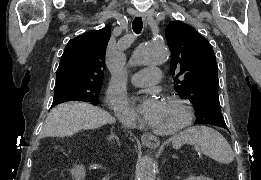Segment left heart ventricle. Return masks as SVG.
Returning <instances> with one entry per match:
<instances>
[{
	"mask_svg": "<svg viewBox=\"0 0 261 180\" xmlns=\"http://www.w3.org/2000/svg\"><path fill=\"white\" fill-rule=\"evenodd\" d=\"M182 113L179 103L165 98L161 100L159 108L147 123L153 131L169 132L177 127Z\"/></svg>",
	"mask_w": 261,
	"mask_h": 180,
	"instance_id": "1",
	"label": "left heart ventricle"
}]
</instances>
